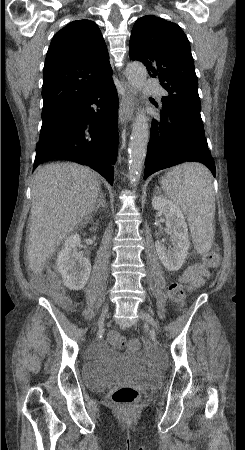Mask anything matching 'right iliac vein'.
Here are the masks:
<instances>
[{
    "label": "right iliac vein",
    "instance_id": "right-iliac-vein-1",
    "mask_svg": "<svg viewBox=\"0 0 245 450\" xmlns=\"http://www.w3.org/2000/svg\"><path fill=\"white\" fill-rule=\"evenodd\" d=\"M108 308H109L108 304L104 306V308L102 310V313H101V316H100V318L98 320V327H101L103 325L105 317H106V315L108 313Z\"/></svg>",
    "mask_w": 245,
    "mask_h": 450
}]
</instances>
